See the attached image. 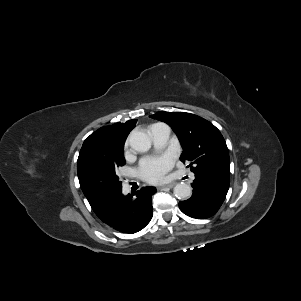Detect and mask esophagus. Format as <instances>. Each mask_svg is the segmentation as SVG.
<instances>
[{
    "label": "esophagus",
    "instance_id": "34e87169",
    "mask_svg": "<svg viewBox=\"0 0 301 301\" xmlns=\"http://www.w3.org/2000/svg\"><path fill=\"white\" fill-rule=\"evenodd\" d=\"M174 185H175V183H169V184H165V185H160L158 188H159V189L173 188Z\"/></svg>",
    "mask_w": 301,
    "mask_h": 301
}]
</instances>
